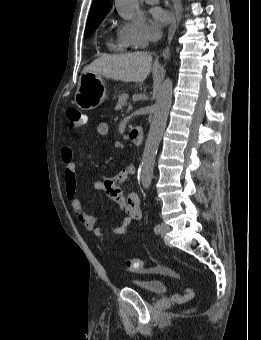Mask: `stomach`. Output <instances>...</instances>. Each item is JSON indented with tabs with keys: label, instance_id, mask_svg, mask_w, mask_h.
Returning a JSON list of instances; mask_svg holds the SVG:
<instances>
[{
	"label": "stomach",
	"instance_id": "1",
	"mask_svg": "<svg viewBox=\"0 0 261 340\" xmlns=\"http://www.w3.org/2000/svg\"><path fill=\"white\" fill-rule=\"evenodd\" d=\"M107 97L106 85L101 75L91 72L82 73L74 96V101L80 109H95Z\"/></svg>",
	"mask_w": 261,
	"mask_h": 340
}]
</instances>
